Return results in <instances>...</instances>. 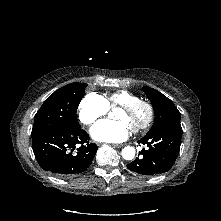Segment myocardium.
<instances>
[{"instance_id": "obj_1", "label": "myocardium", "mask_w": 221, "mask_h": 221, "mask_svg": "<svg viewBox=\"0 0 221 221\" xmlns=\"http://www.w3.org/2000/svg\"><path fill=\"white\" fill-rule=\"evenodd\" d=\"M139 107H144L146 110V118L144 121L136 126L131 127V130L134 133H139L141 131L146 130L150 127L154 119V108L152 104L146 100L138 99L126 104H122L119 106V109L124 110L126 112H133Z\"/></svg>"}]
</instances>
